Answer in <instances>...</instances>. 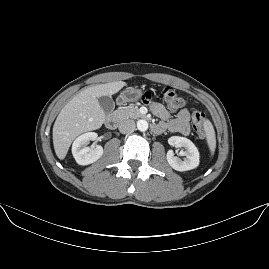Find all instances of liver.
Returning a JSON list of instances; mask_svg holds the SVG:
<instances>
[{
  "label": "liver",
  "mask_w": 269,
  "mask_h": 269,
  "mask_svg": "<svg viewBox=\"0 0 269 269\" xmlns=\"http://www.w3.org/2000/svg\"><path fill=\"white\" fill-rule=\"evenodd\" d=\"M124 85L123 81L95 85L76 95L64 106L53 128L54 147L60 159L65 157L75 137L98 129L104 123L105 112L97 98L114 94Z\"/></svg>",
  "instance_id": "1"
}]
</instances>
